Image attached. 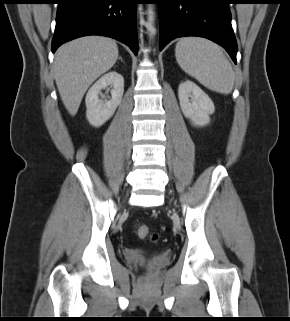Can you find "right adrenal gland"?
<instances>
[{
    "label": "right adrenal gland",
    "mask_w": 290,
    "mask_h": 321,
    "mask_svg": "<svg viewBox=\"0 0 290 321\" xmlns=\"http://www.w3.org/2000/svg\"><path fill=\"white\" fill-rule=\"evenodd\" d=\"M119 59L123 62V59H122V57H119Z\"/></svg>",
    "instance_id": "1"
}]
</instances>
